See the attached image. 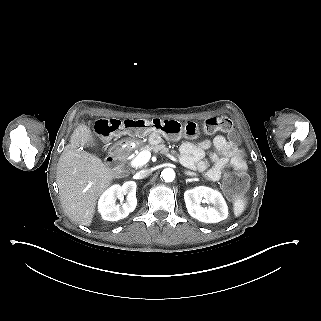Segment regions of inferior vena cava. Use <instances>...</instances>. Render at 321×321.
Here are the masks:
<instances>
[{"mask_svg": "<svg viewBox=\"0 0 321 321\" xmlns=\"http://www.w3.org/2000/svg\"><path fill=\"white\" fill-rule=\"evenodd\" d=\"M152 173V170L151 169H143V170H140L137 175H138V178L139 179H143V178H146L148 177L149 175H151Z\"/></svg>", "mask_w": 321, "mask_h": 321, "instance_id": "1", "label": "inferior vena cava"}]
</instances>
